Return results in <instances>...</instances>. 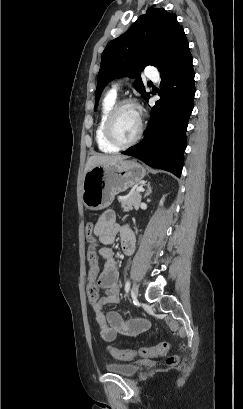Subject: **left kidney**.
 <instances>
[{"label": "left kidney", "instance_id": "left-kidney-1", "mask_svg": "<svg viewBox=\"0 0 243 409\" xmlns=\"http://www.w3.org/2000/svg\"><path fill=\"white\" fill-rule=\"evenodd\" d=\"M164 199H165V196H163L162 199H161V201H160V204H161V205L163 204Z\"/></svg>", "mask_w": 243, "mask_h": 409}]
</instances>
